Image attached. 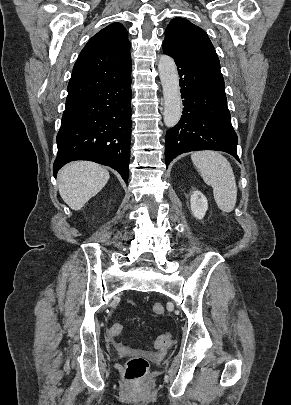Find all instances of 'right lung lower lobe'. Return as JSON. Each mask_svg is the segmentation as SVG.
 Instances as JSON below:
<instances>
[{"mask_svg": "<svg viewBox=\"0 0 291 405\" xmlns=\"http://www.w3.org/2000/svg\"><path fill=\"white\" fill-rule=\"evenodd\" d=\"M131 74L66 104L57 135L58 170L73 160H90L117 170L127 183L131 143Z\"/></svg>", "mask_w": 291, "mask_h": 405, "instance_id": "98d812e1", "label": "right lung lower lobe"}]
</instances>
